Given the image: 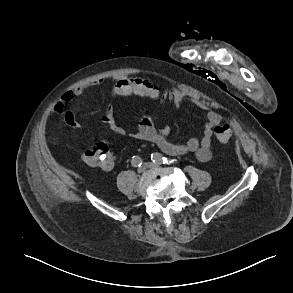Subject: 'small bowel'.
Masks as SVG:
<instances>
[{
  "label": "small bowel",
  "mask_w": 293,
  "mask_h": 293,
  "mask_svg": "<svg viewBox=\"0 0 293 293\" xmlns=\"http://www.w3.org/2000/svg\"><path fill=\"white\" fill-rule=\"evenodd\" d=\"M101 83V81L83 83L66 91L62 95L61 100L55 103L53 107L54 112L63 115L69 127L79 128L81 126L80 123L71 110H66L65 104L72 101L75 97L81 96L86 90L99 86ZM110 93L113 97H126L130 95L146 96L145 93H149L151 95L146 96L149 98H158L161 94L159 88L147 79L127 76L117 77L114 80ZM162 98L165 101L168 100L175 109H179L181 104L187 100L198 108L207 110V122L204 125L203 135L200 139L190 138L185 142H175L169 138L171 131L169 126L156 128L152 119L147 115H144L140 119L137 131L129 133L115 119L112 106L104 114L100 115V120L117 135L152 142L169 155L193 154L200 162H208L212 158L213 129L220 124L221 116L214 111H209L204 103L185 91L166 89L162 92ZM114 165L115 158L108 167L102 169L110 171L114 168Z\"/></svg>",
  "instance_id": "small-bowel-1"
}]
</instances>
